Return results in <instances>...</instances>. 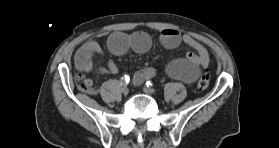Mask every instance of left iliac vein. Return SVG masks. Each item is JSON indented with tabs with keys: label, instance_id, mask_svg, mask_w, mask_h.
Here are the masks:
<instances>
[{
	"label": "left iliac vein",
	"instance_id": "left-iliac-vein-1",
	"mask_svg": "<svg viewBox=\"0 0 279 148\" xmlns=\"http://www.w3.org/2000/svg\"><path fill=\"white\" fill-rule=\"evenodd\" d=\"M143 91L146 93V94H150V95H153L155 94V90L150 88V87H144L143 88Z\"/></svg>",
	"mask_w": 279,
	"mask_h": 148
}]
</instances>
